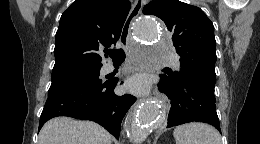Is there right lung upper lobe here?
Wrapping results in <instances>:
<instances>
[{
	"instance_id": "right-lung-upper-lobe-1",
	"label": "right lung upper lobe",
	"mask_w": 260,
	"mask_h": 144,
	"mask_svg": "<svg viewBox=\"0 0 260 144\" xmlns=\"http://www.w3.org/2000/svg\"><path fill=\"white\" fill-rule=\"evenodd\" d=\"M128 0H76L62 14L55 41L54 70L101 67L99 55L120 38Z\"/></svg>"
}]
</instances>
